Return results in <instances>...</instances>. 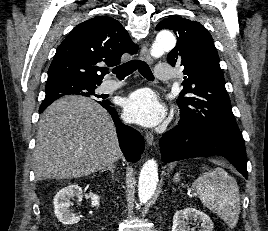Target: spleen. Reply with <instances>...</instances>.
I'll list each match as a JSON object with an SVG mask.
<instances>
[{"label":"spleen","mask_w":268,"mask_h":231,"mask_svg":"<svg viewBox=\"0 0 268 231\" xmlns=\"http://www.w3.org/2000/svg\"><path fill=\"white\" fill-rule=\"evenodd\" d=\"M174 181H179L176 174ZM192 188L202 204L217 214L231 228L235 227L240 214L239 188L236 180L223 168L217 167L199 176Z\"/></svg>","instance_id":"3e777b00"}]
</instances>
